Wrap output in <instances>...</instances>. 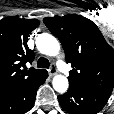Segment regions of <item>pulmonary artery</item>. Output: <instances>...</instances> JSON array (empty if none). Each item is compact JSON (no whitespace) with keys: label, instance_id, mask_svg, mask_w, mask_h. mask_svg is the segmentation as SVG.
Here are the masks:
<instances>
[{"label":"pulmonary artery","instance_id":"e3ab8cb5","mask_svg":"<svg viewBox=\"0 0 114 114\" xmlns=\"http://www.w3.org/2000/svg\"><path fill=\"white\" fill-rule=\"evenodd\" d=\"M57 66L60 69L61 72L68 74V68L66 66V64L63 61H58L57 62Z\"/></svg>","mask_w":114,"mask_h":114}]
</instances>
